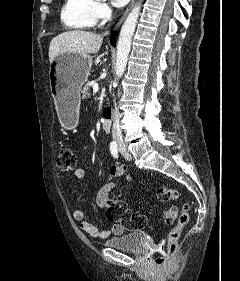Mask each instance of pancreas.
I'll return each mask as SVG.
<instances>
[{"label": "pancreas", "mask_w": 240, "mask_h": 281, "mask_svg": "<svg viewBox=\"0 0 240 281\" xmlns=\"http://www.w3.org/2000/svg\"><path fill=\"white\" fill-rule=\"evenodd\" d=\"M92 87V83L88 81L83 87L81 93L83 94V98H88L90 96V88Z\"/></svg>", "instance_id": "obj_1"}]
</instances>
